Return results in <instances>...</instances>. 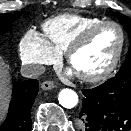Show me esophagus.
<instances>
[{
    "mask_svg": "<svg viewBox=\"0 0 131 131\" xmlns=\"http://www.w3.org/2000/svg\"><path fill=\"white\" fill-rule=\"evenodd\" d=\"M41 88L43 90H51V89L55 88V84L52 81H44L41 84Z\"/></svg>",
    "mask_w": 131,
    "mask_h": 131,
    "instance_id": "1",
    "label": "esophagus"
}]
</instances>
